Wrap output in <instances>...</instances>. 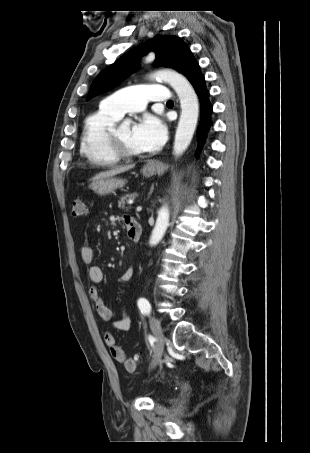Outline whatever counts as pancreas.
I'll return each mask as SVG.
<instances>
[{
	"label": "pancreas",
	"instance_id": "pancreas-1",
	"mask_svg": "<svg viewBox=\"0 0 310 453\" xmlns=\"http://www.w3.org/2000/svg\"><path fill=\"white\" fill-rule=\"evenodd\" d=\"M136 197H137L136 193L127 194V195L123 196L120 199V201L118 202V207L127 211L130 208L129 206H127L128 200H134Z\"/></svg>",
	"mask_w": 310,
	"mask_h": 453
}]
</instances>
